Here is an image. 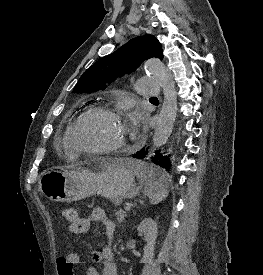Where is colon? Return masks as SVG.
<instances>
[{
  "mask_svg": "<svg viewBox=\"0 0 263 275\" xmlns=\"http://www.w3.org/2000/svg\"><path fill=\"white\" fill-rule=\"evenodd\" d=\"M63 217L70 223L78 219L77 210L74 207L68 206L62 211ZM79 260V255L72 253L68 256L59 257L57 259V267L59 275H73V269L76 262Z\"/></svg>",
  "mask_w": 263,
  "mask_h": 275,
  "instance_id": "obj_1",
  "label": "colon"
}]
</instances>
